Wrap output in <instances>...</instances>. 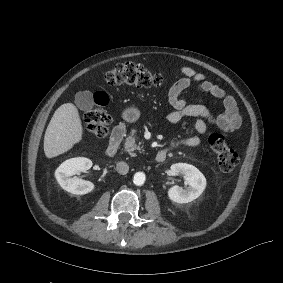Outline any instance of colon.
I'll use <instances>...</instances> for the list:
<instances>
[{"mask_svg": "<svg viewBox=\"0 0 283 283\" xmlns=\"http://www.w3.org/2000/svg\"><path fill=\"white\" fill-rule=\"evenodd\" d=\"M164 82L163 76L147 67L135 63H122L109 69L103 83L107 86L128 85L135 87H155ZM107 105V96L99 93L95 98V107L85 115V122L89 131L98 138L105 137L111 121L104 107ZM211 150L216 155L219 168L224 173H231L236 168L239 157L229 148L223 135L213 133L208 137Z\"/></svg>", "mask_w": 283, "mask_h": 283, "instance_id": "1", "label": "colon"}]
</instances>
